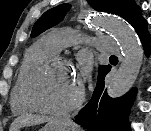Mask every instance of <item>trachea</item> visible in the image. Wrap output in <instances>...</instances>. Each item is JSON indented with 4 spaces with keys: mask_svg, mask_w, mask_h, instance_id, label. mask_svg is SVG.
Segmentation results:
<instances>
[{
    "mask_svg": "<svg viewBox=\"0 0 151 131\" xmlns=\"http://www.w3.org/2000/svg\"><path fill=\"white\" fill-rule=\"evenodd\" d=\"M110 58H117L115 55H112Z\"/></svg>",
    "mask_w": 151,
    "mask_h": 131,
    "instance_id": "1",
    "label": "trachea"
}]
</instances>
